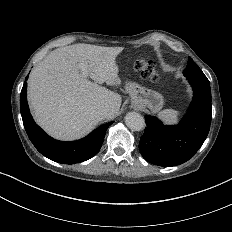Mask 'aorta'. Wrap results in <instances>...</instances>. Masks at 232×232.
Instances as JSON below:
<instances>
[{
	"instance_id": "1",
	"label": "aorta",
	"mask_w": 232,
	"mask_h": 232,
	"mask_svg": "<svg viewBox=\"0 0 232 232\" xmlns=\"http://www.w3.org/2000/svg\"><path fill=\"white\" fill-rule=\"evenodd\" d=\"M125 123L133 131H141L145 128L144 118L136 112L127 113Z\"/></svg>"
}]
</instances>
